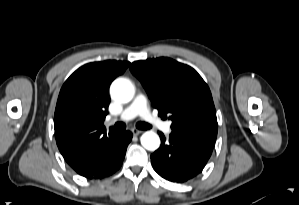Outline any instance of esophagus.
Listing matches in <instances>:
<instances>
[{"instance_id": "34e87169", "label": "esophagus", "mask_w": 299, "mask_h": 205, "mask_svg": "<svg viewBox=\"0 0 299 205\" xmlns=\"http://www.w3.org/2000/svg\"><path fill=\"white\" fill-rule=\"evenodd\" d=\"M131 131H132L133 135H135V136H137V135H139V134H141V133H142V131H141V130H139V129H136V128H133Z\"/></svg>"}]
</instances>
